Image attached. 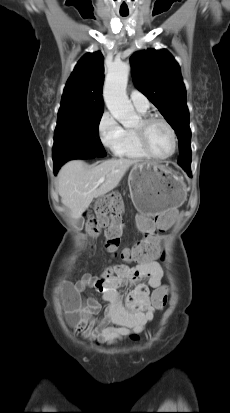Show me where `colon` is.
<instances>
[{
  "mask_svg": "<svg viewBox=\"0 0 230 413\" xmlns=\"http://www.w3.org/2000/svg\"><path fill=\"white\" fill-rule=\"evenodd\" d=\"M99 199L94 208V215L87 222L86 229L91 236H96L102 229H105L104 247L108 252L116 253L124 231L123 212L121 210V206L124 204L123 194L121 192H101ZM82 214L86 215L87 211L83 210ZM145 232L147 234L146 240L130 248L123 249L120 254L122 259L130 262H143L153 260L161 255L159 247L160 231ZM161 256L164 259L163 254ZM152 301L157 308L162 309L166 305L167 295L155 293ZM66 306L71 311L75 310L76 299L70 298Z\"/></svg>",
  "mask_w": 230,
  "mask_h": 413,
  "instance_id": "1",
  "label": "colon"
}]
</instances>
